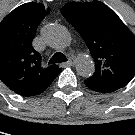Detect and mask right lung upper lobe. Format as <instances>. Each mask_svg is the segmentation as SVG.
Wrapping results in <instances>:
<instances>
[{"label": "right lung upper lobe", "mask_w": 135, "mask_h": 135, "mask_svg": "<svg viewBox=\"0 0 135 135\" xmlns=\"http://www.w3.org/2000/svg\"><path fill=\"white\" fill-rule=\"evenodd\" d=\"M49 13L41 3H26L0 23V80L13 92L29 97L45 91L62 71L57 65H41L32 47L39 23Z\"/></svg>", "instance_id": "cb5924a9"}]
</instances>
